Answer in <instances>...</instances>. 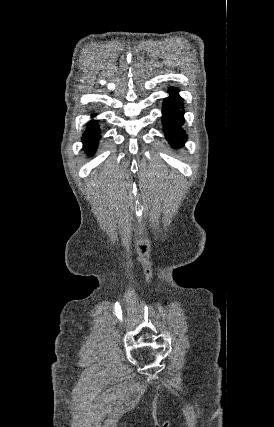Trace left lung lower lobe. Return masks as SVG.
Wrapping results in <instances>:
<instances>
[{
	"label": "left lung lower lobe",
	"mask_w": 274,
	"mask_h": 427,
	"mask_svg": "<svg viewBox=\"0 0 274 427\" xmlns=\"http://www.w3.org/2000/svg\"><path fill=\"white\" fill-rule=\"evenodd\" d=\"M169 92L170 97L165 99L163 106L164 132L172 146L180 147L186 139L185 132L181 128L184 121L183 111L179 109V106L182 105V100L176 89L171 88Z\"/></svg>",
	"instance_id": "left-lung-lower-lobe-1"
}]
</instances>
